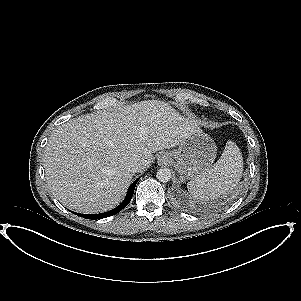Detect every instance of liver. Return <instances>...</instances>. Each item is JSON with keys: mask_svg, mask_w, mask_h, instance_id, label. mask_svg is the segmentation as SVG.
Returning a JSON list of instances; mask_svg holds the SVG:
<instances>
[{"mask_svg": "<svg viewBox=\"0 0 301 301\" xmlns=\"http://www.w3.org/2000/svg\"><path fill=\"white\" fill-rule=\"evenodd\" d=\"M189 129L188 119L161 103L79 116L50 135L43 154L47 184L68 209L106 212L124 198L134 175L129 165L145 170L153 153L179 146Z\"/></svg>", "mask_w": 301, "mask_h": 301, "instance_id": "obj_1", "label": "liver"}]
</instances>
